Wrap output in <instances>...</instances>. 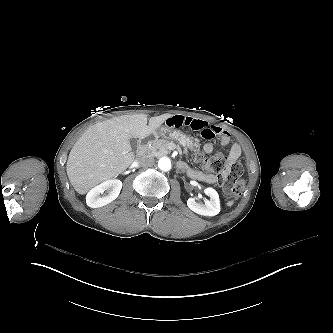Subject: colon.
Masks as SVG:
<instances>
[{"instance_id": "obj_1", "label": "colon", "mask_w": 333, "mask_h": 333, "mask_svg": "<svg viewBox=\"0 0 333 333\" xmlns=\"http://www.w3.org/2000/svg\"><path fill=\"white\" fill-rule=\"evenodd\" d=\"M195 161L200 163L206 172L216 173V184L223 188L227 196H240L245 190L243 167L230 156L217 153L211 156L197 154Z\"/></svg>"}]
</instances>
